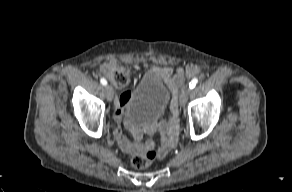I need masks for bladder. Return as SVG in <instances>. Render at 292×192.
Returning <instances> with one entry per match:
<instances>
[{"label":"bladder","instance_id":"obj_1","mask_svg":"<svg viewBox=\"0 0 292 192\" xmlns=\"http://www.w3.org/2000/svg\"><path fill=\"white\" fill-rule=\"evenodd\" d=\"M170 99V90L162 79L145 76L129 94L126 115L134 123L156 121L165 114Z\"/></svg>","mask_w":292,"mask_h":192}]
</instances>
